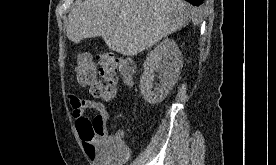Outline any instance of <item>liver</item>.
Wrapping results in <instances>:
<instances>
[{
  "label": "liver",
  "mask_w": 276,
  "mask_h": 165,
  "mask_svg": "<svg viewBox=\"0 0 276 165\" xmlns=\"http://www.w3.org/2000/svg\"><path fill=\"white\" fill-rule=\"evenodd\" d=\"M195 18L182 0H85L69 13L66 33L77 44L101 36L110 50L135 56Z\"/></svg>",
  "instance_id": "1"
}]
</instances>
